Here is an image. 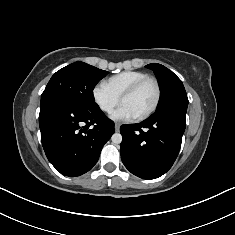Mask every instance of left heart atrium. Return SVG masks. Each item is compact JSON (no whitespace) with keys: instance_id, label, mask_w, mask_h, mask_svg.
Returning <instances> with one entry per match:
<instances>
[{"instance_id":"39dd6f15","label":"left heart atrium","mask_w":235,"mask_h":235,"mask_svg":"<svg viewBox=\"0 0 235 235\" xmlns=\"http://www.w3.org/2000/svg\"><path fill=\"white\" fill-rule=\"evenodd\" d=\"M111 118L116 121H133L137 115L125 104H121L112 114Z\"/></svg>"}]
</instances>
